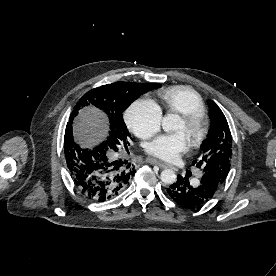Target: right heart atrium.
<instances>
[{
  "label": "right heart atrium",
  "instance_id": "d8ad5b80",
  "mask_svg": "<svg viewBox=\"0 0 276 276\" xmlns=\"http://www.w3.org/2000/svg\"><path fill=\"white\" fill-rule=\"evenodd\" d=\"M125 121L136 136L147 139L159 131L162 111L153 100L139 98L127 109Z\"/></svg>",
  "mask_w": 276,
  "mask_h": 276
}]
</instances>
